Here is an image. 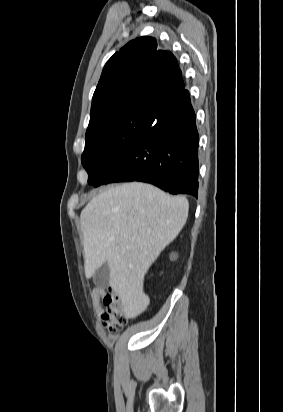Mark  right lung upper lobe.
Returning a JSON list of instances; mask_svg holds the SVG:
<instances>
[{
  "label": "right lung upper lobe",
  "mask_w": 283,
  "mask_h": 412,
  "mask_svg": "<svg viewBox=\"0 0 283 412\" xmlns=\"http://www.w3.org/2000/svg\"><path fill=\"white\" fill-rule=\"evenodd\" d=\"M184 89L173 54L158 49L152 37L137 38L105 64L93 95L89 125L132 105L164 107Z\"/></svg>",
  "instance_id": "1"
}]
</instances>
